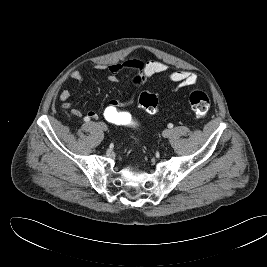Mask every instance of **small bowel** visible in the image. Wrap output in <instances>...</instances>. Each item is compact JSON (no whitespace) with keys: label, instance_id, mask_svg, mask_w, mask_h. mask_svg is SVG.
Wrapping results in <instances>:
<instances>
[{"label":"small bowel","instance_id":"c3829d8e","mask_svg":"<svg viewBox=\"0 0 267 267\" xmlns=\"http://www.w3.org/2000/svg\"><path fill=\"white\" fill-rule=\"evenodd\" d=\"M96 68L99 70H108V79L112 83H116L118 81V73L120 71L124 69L133 70L136 72L134 76V83L137 86H141L147 79L153 77L156 74L167 71L168 65L158 60H150L147 62L140 60H129L123 64H110L108 66L99 65ZM70 78L74 80L76 85L81 84L83 80L82 74L77 70H74L70 73ZM169 79L176 85L175 90H178L183 87L194 85L198 80V76L194 72L188 70H180L170 73ZM71 96L72 90L65 89L60 92L59 99L61 100L62 107L65 110H67L71 115L79 117L81 115V112L80 110L72 106L71 102L69 101ZM110 102L121 107L131 104L133 102V98H130L126 101L111 100ZM86 117H88L89 119H97L98 114L95 111H89Z\"/></svg>","mask_w":267,"mask_h":267}]
</instances>
